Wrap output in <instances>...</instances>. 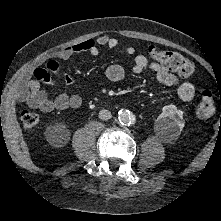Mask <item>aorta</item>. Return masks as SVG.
<instances>
[{"instance_id": "762f6f07", "label": "aorta", "mask_w": 221, "mask_h": 221, "mask_svg": "<svg viewBox=\"0 0 221 221\" xmlns=\"http://www.w3.org/2000/svg\"><path fill=\"white\" fill-rule=\"evenodd\" d=\"M118 120L122 125L127 126L134 123L135 117L130 111L121 109L118 112Z\"/></svg>"}]
</instances>
